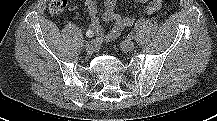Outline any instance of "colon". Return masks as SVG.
I'll return each instance as SVG.
<instances>
[{
    "label": "colon",
    "instance_id": "obj_1",
    "mask_svg": "<svg viewBox=\"0 0 217 121\" xmlns=\"http://www.w3.org/2000/svg\"><path fill=\"white\" fill-rule=\"evenodd\" d=\"M67 3V0H51L49 10L53 14H60L66 9Z\"/></svg>",
    "mask_w": 217,
    "mask_h": 121
}]
</instances>
